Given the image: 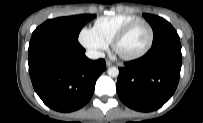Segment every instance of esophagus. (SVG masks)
<instances>
[{
  "label": "esophagus",
  "mask_w": 203,
  "mask_h": 123,
  "mask_svg": "<svg viewBox=\"0 0 203 123\" xmlns=\"http://www.w3.org/2000/svg\"><path fill=\"white\" fill-rule=\"evenodd\" d=\"M106 65H107V67H110V66H112L113 64H112V62H110L109 60H107V61H106Z\"/></svg>",
  "instance_id": "34e87169"
}]
</instances>
